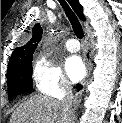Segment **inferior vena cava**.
I'll list each match as a JSON object with an SVG mask.
<instances>
[{
  "mask_svg": "<svg viewBox=\"0 0 122 123\" xmlns=\"http://www.w3.org/2000/svg\"><path fill=\"white\" fill-rule=\"evenodd\" d=\"M65 93L64 97L60 100L63 114L71 115L72 114V100H73V91L72 86L69 83H65Z\"/></svg>",
  "mask_w": 122,
  "mask_h": 123,
  "instance_id": "inferior-vena-cava-1",
  "label": "inferior vena cava"
}]
</instances>
